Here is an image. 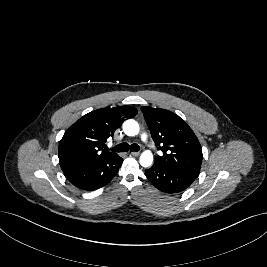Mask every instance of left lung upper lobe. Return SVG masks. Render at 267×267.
Instances as JSON below:
<instances>
[{"instance_id":"left-lung-upper-lobe-1","label":"left lung upper lobe","mask_w":267,"mask_h":267,"mask_svg":"<svg viewBox=\"0 0 267 267\" xmlns=\"http://www.w3.org/2000/svg\"><path fill=\"white\" fill-rule=\"evenodd\" d=\"M141 110L156 146L163 152L154 163L197 178L203 155L192 129L171 111L151 107Z\"/></svg>"}]
</instances>
